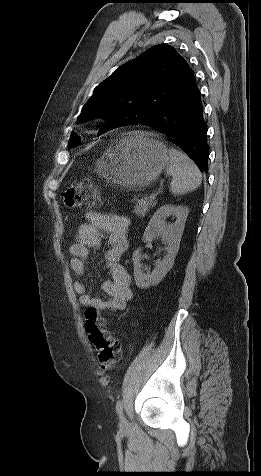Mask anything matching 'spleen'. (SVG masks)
Instances as JSON below:
<instances>
[{
    "mask_svg": "<svg viewBox=\"0 0 261 476\" xmlns=\"http://www.w3.org/2000/svg\"><path fill=\"white\" fill-rule=\"evenodd\" d=\"M166 175L172 176L170 192L182 195L194 191L202 182V174L196 164L183 152L169 149Z\"/></svg>",
    "mask_w": 261,
    "mask_h": 476,
    "instance_id": "spleen-1",
    "label": "spleen"
}]
</instances>
